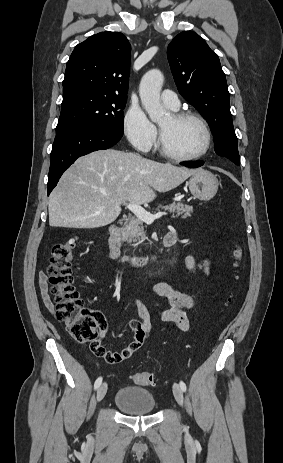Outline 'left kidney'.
<instances>
[{
	"label": "left kidney",
	"mask_w": 283,
	"mask_h": 463,
	"mask_svg": "<svg viewBox=\"0 0 283 463\" xmlns=\"http://www.w3.org/2000/svg\"><path fill=\"white\" fill-rule=\"evenodd\" d=\"M205 271L208 273V268L206 267Z\"/></svg>",
	"instance_id": "5707ae66"
}]
</instances>
